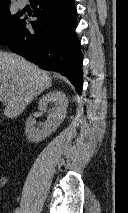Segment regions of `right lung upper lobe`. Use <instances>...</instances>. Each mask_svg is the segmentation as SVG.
<instances>
[{
  "label": "right lung upper lobe",
  "mask_w": 128,
  "mask_h": 213,
  "mask_svg": "<svg viewBox=\"0 0 128 213\" xmlns=\"http://www.w3.org/2000/svg\"><path fill=\"white\" fill-rule=\"evenodd\" d=\"M9 0H0V6L8 4Z\"/></svg>",
  "instance_id": "cb5924a9"
}]
</instances>
